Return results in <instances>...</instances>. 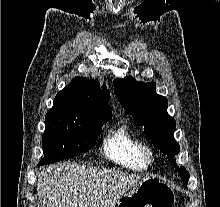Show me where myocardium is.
<instances>
[{
	"label": "myocardium",
	"mask_w": 220,
	"mask_h": 207,
	"mask_svg": "<svg viewBox=\"0 0 220 207\" xmlns=\"http://www.w3.org/2000/svg\"><path fill=\"white\" fill-rule=\"evenodd\" d=\"M139 151H140L142 159L144 160L146 164H151L154 162L155 156H154V152L151 149V147H149L146 144L140 143Z\"/></svg>",
	"instance_id": "obj_1"
}]
</instances>
